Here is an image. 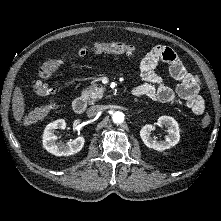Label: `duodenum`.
<instances>
[{
  "label": "duodenum",
  "instance_id": "410a0bca",
  "mask_svg": "<svg viewBox=\"0 0 221 221\" xmlns=\"http://www.w3.org/2000/svg\"><path fill=\"white\" fill-rule=\"evenodd\" d=\"M86 106H87L86 101L81 97H77L73 100L72 108L73 111L77 114L83 113L86 109Z\"/></svg>",
  "mask_w": 221,
  "mask_h": 221
}]
</instances>
